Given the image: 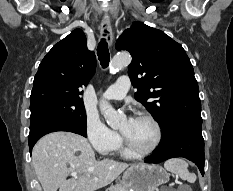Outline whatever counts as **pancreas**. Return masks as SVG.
Masks as SVG:
<instances>
[{
	"label": "pancreas",
	"mask_w": 233,
	"mask_h": 191,
	"mask_svg": "<svg viewBox=\"0 0 233 191\" xmlns=\"http://www.w3.org/2000/svg\"><path fill=\"white\" fill-rule=\"evenodd\" d=\"M106 191H127V190L122 185L118 184L115 186H111ZM174 191H176V190H174Z\"/></svg>",
	"instance_id": "obj_1"
}]
</instances>
